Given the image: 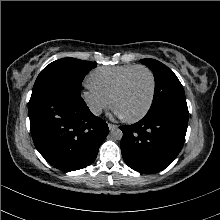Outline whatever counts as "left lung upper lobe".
<instances>
[{"mask_svg": "<svg viewBox=\"0 0 220 220\" xmlns=\"http://www.w3.org/2000/svg\"><path fill=\"white\" fill-rule=\"evenodd\" d=\"M140 62L153 71L155 78L154 98L146 116L169 112L188 119L185 93L177 76L166 65L155 59H142Z\"/></svg>", "mask_w": 220, "mask_h": 220, "instance_id": "obj_1", "label": "left lung upper lobe"}]
</instances>
